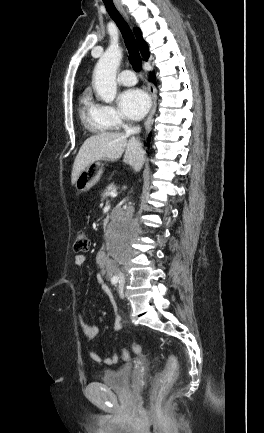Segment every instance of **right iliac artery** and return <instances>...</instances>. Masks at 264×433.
Masks as SVG:
<instances>
[{
	"mask_svg": "<svg viewBox=\"0 0 264 433\" xmlns=\"http://www.w3.org/2000/svg\"><path fill=\"white\" fill-rule=\"evenodd\" d=\"M111 282H112L113 285L116 286L120 282L119 277H113L111 279Z\"/></svg>",
	"mask_w": 264,
	"mask_h": 433,
	"instance_id": "right-iliac-artery-1",
	"label": "right iliac artery"
}]
</instances>
